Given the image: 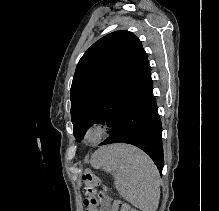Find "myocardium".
I'll use <instances>...</instances> for the list:
<instances>
[{
  "label": "myocardium",
  "mask_w": 219,
  "mask_h": 211,
  "mask_svg": "<svg viewBox=\"0 0 219 211\" xmlns=\"http://www.w3.org/2000/svg\"><path fill=\"white\" fill-rule=\"evenodd\" d=\"M105 128L101 124H93L85 132L84 139L88 144H96L103 137Z\"/></svg>",
  "instance_id": "1"
}]
</instances>
